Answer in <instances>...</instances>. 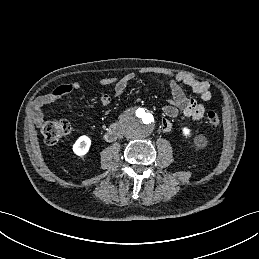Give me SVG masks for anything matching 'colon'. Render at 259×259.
Returning a JSON list of instances; mask_svg holds the SVG:
<instances>
[{
  "mask_svg": "<svg viewBox=\"0 0 259 259\" xmlns=\"http://www.w3.org/2000/svg\"><path fill=\"white\" fill-rule=\"evenodd\" d=\"M206 120L212 128H217L219 126L220 119L213 111H209L206 114ZM41 131L45 142L48 145H55L70 133L71 125L64 119L53 120L46 122L42 126Z\"/></svg>",
  "mask_w": 259,
  "mask_h": 259,
  "instance_id": "colon-1",
  "label": "colon"
}]
</instances>
